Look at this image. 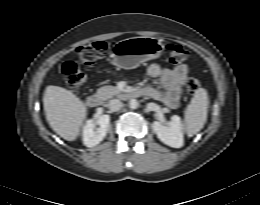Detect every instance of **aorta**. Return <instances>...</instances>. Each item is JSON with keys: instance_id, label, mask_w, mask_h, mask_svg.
<instances>
[{"instance_id": "762f6f07", "label": "aorta", "mask_w": 260, "mask_h": 205, "mask_svg": "<svg viewBox=\"0 0 260 205\" xmlns=\"http://www.w3.org/2000/svg\"><path fill=\"white\" fill-rule=\"evenodd\" d=\"M138 106H139V103H138V101L136 99H131L129 101V107L131 109H136V108H138Z\"/></svg>"}]
</instances>
